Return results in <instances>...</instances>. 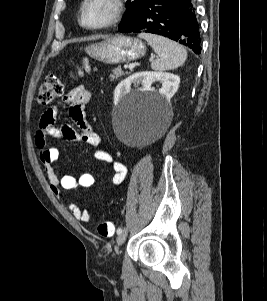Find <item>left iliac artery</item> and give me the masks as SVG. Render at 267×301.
Listing matches in <instances>:
<instances>
[{
    "instance_id": "44dca946",
    "label": "left iliac artery",
    "mask_w": 267,
    "mask_h": 301,
    "mask_svg": "<svg viewBox=\"0 0 267 301\" xmlns=\"http://www.w3.org/2000/svg\"><path fill=\"white\" fill-rule=\"evenodd\" d=\"M122 232V228L117 229V234H120Z\"/></svg>"
}]
</instances>
